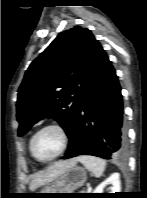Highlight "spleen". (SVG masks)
<instances>
[{
  "label": "spleen",
  "instance_id": "3e777b00",
  "mask_svg": "<svg viewBox=\"0 0 147 198\" xmlns=\"http://www.w3.org/2000/svg\"><path fill=\"white\" fill-rule=\"evenodd\" d=\"M77 160L81 162L86 167V169L91 171L95 177H100L106 167L105 160L94 156L83 155L79 156Z\"/></svg>",
  "mask_w": 147,
  "mask_h": 198
}]
</instances>
